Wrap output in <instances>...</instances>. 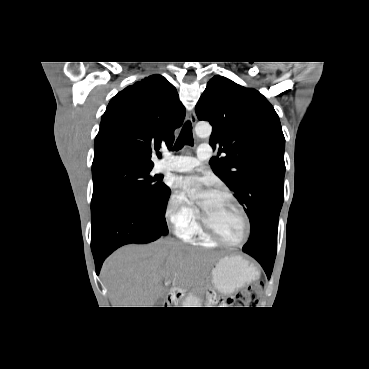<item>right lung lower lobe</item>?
I'll return each mask as SVG.
<instances>
[{
    "mask_svg": "<svg viewBox=\"0 0 369 369\" xmlns=\"http://www.w3.org/2000/svg\"><path fill=\"white\" fill-rule=\"evenodd\" d=\"M91 216V249L97 274L105 258L117 248L130 243H149L167 234L153 207L127 197L105 201Z\"/></svg>",
    "mask_w": 369,
    "mask_h": 369,
    "instance_id": "right-lung-lower-lobe-1",
    "label": "right lung lower lobe"
}]
</instances>
